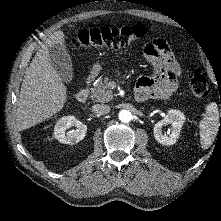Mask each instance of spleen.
Returning <instances> with one entry per match:
<instances>
[{
    "label": "spleen",
    "mask_w": 221,
    "mask_h": 221,
    "mask_svg": "<svg viewBox=\"0 0 221 221\" xmlns=\"http://www.w3.org/2000/svg\"><path fill=\"white\" fill-rule=\"evenodd\" d=\"M199 128L201 146L204 150L208 149L215 140L219 128V112L218 106L215 102L210 103L206 107Z\"/></svg>",
    "instance_id": "1"
}]
</instances>
